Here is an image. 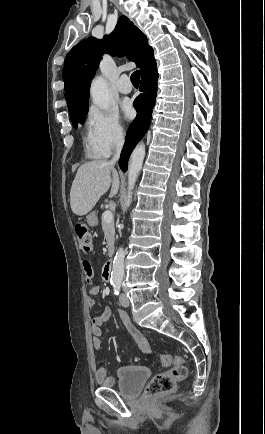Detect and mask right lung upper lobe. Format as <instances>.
Instances as JSON below:
<instances>
[{"label": "right lung upper lobe", "mask_w": 265, "mask_h": 434, "mask_svg": "<svg viewBox=\"0 0 265 434\" xmlns=\"http://www.w3.org/2000/svg\"><path fill=\"white\" fill-rule=\"evenodd\" d=\"M104 52L118 57L127 55L139 68L153 56L147 37L126 16H121L110 36L99 41L93 37L85 39L67 54L62 72L67 104L89 98L90 82Z\"/></svg>", "instance_id": "obj_1"}]
</instances>
